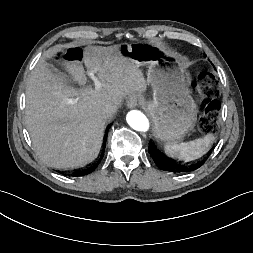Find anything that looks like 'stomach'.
Instances as JSON below:
<instances>
[{"label":"stomach","instance_id":"1","mask_svg":"<svg viewBox=\"0 0 253 253\" xmlns=\"http://www.w3.org/2000/svg\"><path fill=\"white\" fill-rule=\"evenodd\" d=\"M120 51L139 66H148L153 100L144 104L154 122L156 138L166 144L183 140L197 120V106L188 90L189 73L176 57L146 43L122 44Z\"/></svg>","mask_w":253,"mask_h":253}]
</instances>
